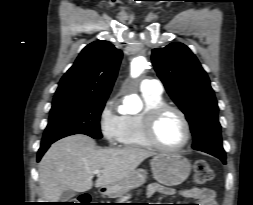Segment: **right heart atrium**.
<instances>
[{
  "label": "right heart atrium",
  "instance_id": "obj_1",
  "mask_svg": "<svg viewBox=\"0 0 253 205\" xmlns=\"http://www.w3.org/2000/svg\"><path fill=\"white\" fill-rule=\"evenodd\" d=\"M98 125L108 144L116 145L120 142L123 116L118 114L115 99H109L104 103L99 114Z\"/></svg>",
  "mask_w": 253,
  "mask_h": 205
}]
</instances>
